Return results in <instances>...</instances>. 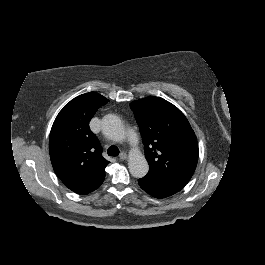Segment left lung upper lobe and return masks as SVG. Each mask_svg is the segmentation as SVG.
<instances>
[{
    "label": "left lung upper lobe",
    "mask_w": 265,
    "mask_h": 265,
    "mask_svg": "<svg viewBox=\"0 0 265 265\" xmlns=\"http://www.w3.org/2000/svg\"><path fill=\"white\" fill-rule=\"evenodd\" d=\"M142 135L147 176L187 184L198 162V143L184 114L160 97L130 103Z\"/></svg>",
    "instance_id": "left-lung-upper-lobe-1"
}]
</instances>
